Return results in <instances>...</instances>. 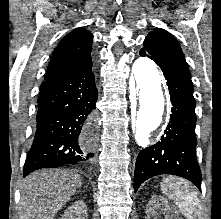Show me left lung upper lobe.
I'll return each mask as SVG.
<instances>
[{
	"label": "left lung upper lobe",
	"instance_id": "5c2ea615",
	"mask_svg": "<svg viewBox=\"0 0 221 219\" xmlns=\"http://www.w3.org/2000/svg\"><path fill=\"white\" fill-rule=\"evenodd\" d=\"M147 53L168 60L183 68L189 73L184 54L177 40L166 30L157 28L145 38L143 43ZM190 74V73H189Z\"/></svg>",
	"mask_w": 221,
	"mask_h": 219
}]
</instances>
